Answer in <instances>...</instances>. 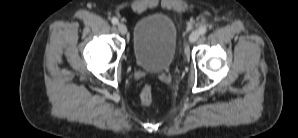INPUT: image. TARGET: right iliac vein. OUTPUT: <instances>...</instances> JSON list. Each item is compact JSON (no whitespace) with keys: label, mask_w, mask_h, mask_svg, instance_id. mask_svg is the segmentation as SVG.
Segmentation results:
<instances>
[{"label":"right iliac vein","mask_w":298,"mask_h":138,"mask_svg":"<svg viewBox=\"0 0 298 138\" xmlns=\"http://www.w3.org/2000/svg\"><path fill=\"white\" fill-rule=\"evenodd\" d=\"M117 27H118L119 32H120L122 35H125V34L127 33V27H126L125 24H123V23H119Z\"/></svg>","instance_id":"obj_1"}]
</instances>
